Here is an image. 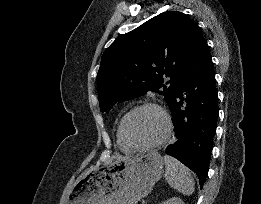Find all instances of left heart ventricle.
Returning a JSON list of instances; mask_svg holds the SVG:
<instances>
[{
    "mask_svg": "<svg viewBox=\"0 0 261 204\" xmlns=\"http://www.w3.org/2000/svg\"><path fill=\"white\" fill-rule=\"evenodd\" d=\"M163 121L152 109L140 110L129 117L125 135L135 145H145L157 140L163 132Z\"/></svg>",
    "mask_w": 261,
    "mask_h": 204,
    "instance_id": "obj_1",
    "label": "left heart ventricle"
}]
</instances>
